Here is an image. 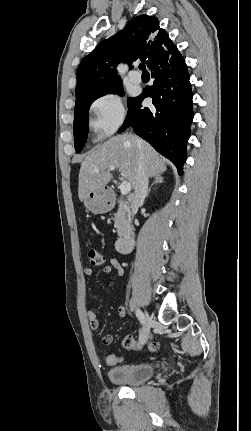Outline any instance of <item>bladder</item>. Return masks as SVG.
I'll return each instance as SVG.
<instances>
[{"mask_svg": "<svg viewBox=\"0 0 251 431\" xmlns=\"http://www.w3.org/2000/svg\"><path fill=\"white\" fill-rule=\"evenodd\" d=\"M154 374V367L149 363H137L114 366L107 372L109 380L118 385L134 386L148 379Z\"/></svg>", "mask_w": 251, "mask_h": 431, "instance_id": "bladder-1", "label": "bladder"}]
</instances>
